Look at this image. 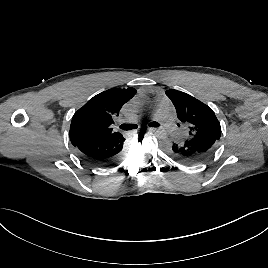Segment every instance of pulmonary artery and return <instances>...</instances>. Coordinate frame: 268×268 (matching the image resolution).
<instances>
[{
  "mask_svg": "<svg viewBox=\"0 0 268 268\" xmlns=\"http://www.w3.org/2000/svg\"><path fill=\"white\" fill-rule=\"evenodd\" d=\"M150 114L155 119L161 121L166 129L169 131L176 130L174 124V117L170 110L169 100L167 97L162 96L155 99L154 105L151 108Z\"/></svg>",
  "mask_w": 268,
  "mask_h": 268,
  "instance_id": "obj_1",
  "label": "pulmonary artery"
}]
</instances>
